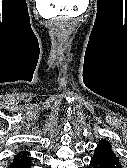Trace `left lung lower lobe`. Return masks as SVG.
<instances>
[{"instance_id": "obj_1", "label": "left lung lower lobe", "mask_w": 127, "mask_h": 168, "mask_svg": "<svg viewBox=\"0 0 127 168\" xmlns=\"http://www.w3.org/2000/svg\"><path fill=\"white\" fill-rule=\"evenodd\" d=\"M90 164L94 168H122L118 158L111 149V145L106 140L99 142Z\"/></svg>"}]
</instances>
